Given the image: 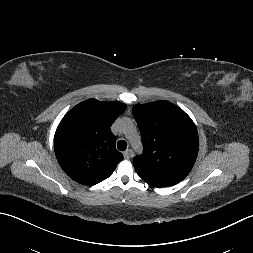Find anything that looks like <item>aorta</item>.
Wrapping results in <instances>:
<instances>
[{
	"mask_svg": "<svg viewBox=\"0 0 253 253\" xmlns=\"http://www.w3.org/2000/svg\"><path fill=\"white\" fill-rule=\"evenodd\" d=\"M122 127L128 131L132 128V123L129 120H124L122 122Z\"/></svg>",
	"mask_w": 253,
	"mask_h": 253,
	"instance_id": "762f6f07",
	"label": "aorta"
}]
</instances>
